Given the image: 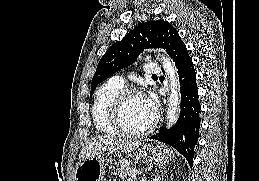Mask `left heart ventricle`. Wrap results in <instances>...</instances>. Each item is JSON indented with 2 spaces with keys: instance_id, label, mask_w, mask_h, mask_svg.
Masks as SVG:
<instances>
[{
  "instance_id": "left-heart-ventricle-1",
  "label": "left heart ventricle",
  "mask_w": 259,
  "mask_h": 181,
  "mask_svg": "<svg viewBox=\"0 0 259 181\" xmlns=\"http://www.w3.org/2000/svg\"><path fill=\"white\" fill-rule=\"evenodd\" d=\"M155 115L145 107L142 96L130 98L123 109L124 125L132 130H138L151 123Z\"/></svg>"
}]
</instances>
